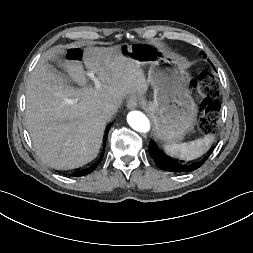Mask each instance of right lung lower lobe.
I'll return each mask as SVG.
<instances>
[{"label":"right lung lower lobe","instance_id":"obj_1","mask_svg":"<svg viewBox=\"0 0 253 253\" xmlns=\"http://www.w3.org/2000/svg\"><path fill=\"white\" fill-rule=\"evenodd\" d=\"M92 171H93V169L89 170L87 173H76L74 176H83V175H86Z\"/></svg>","mask_w":253,"mask_h":253}]
</instances>
